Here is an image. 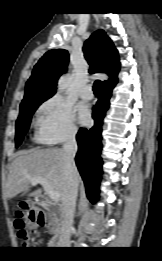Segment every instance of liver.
<instances>
[{"label":"liver","mask_w":162,"mask_h":261,"mask_svg":"<svg viewBox=\"0 0 162 261\" xmlns=\"http://www.w3.org/2000/svg\"><path fill=\"white\" fill-rule=\"evenodd\" d=\"M65 154L63 149L36 148L21 152L12 162L7 178V198L12 199L21 192H27L32 185L30 178L42 177L47 179L52 188L60 195L66 188ZM80 177L78 175V184ZM41 189L30 193L40 195Z\"/></svg>","instance_id":"6515ba94"}]
</instances>
